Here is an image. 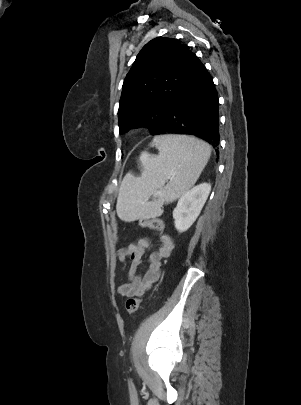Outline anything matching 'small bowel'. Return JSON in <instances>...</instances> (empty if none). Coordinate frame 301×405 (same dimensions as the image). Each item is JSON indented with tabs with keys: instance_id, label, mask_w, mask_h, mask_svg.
Masks as SVG:
<instances>
[{
	"instance_id": "c3829d8e",
	"label": "small bowel",
	"mask_w": 301,
	"mask_h": 405,
	"mask_svg": "<svg viewBox=\"0 0 301 405\" xmlns=\"http://www.w3.org/2000/svg\"><path fill=\"white\" fill-rule=\"evenodd\" d=\"M159 240V249L148 255L149 265L144 275H140L138 269L149 248V240L140 238L137 242L119 250V259L122 262L129 261L127 280L117 291L121 297L142 296L158 281L161 274L162 260L168 258L174 249L173 240L169 235L161 234Z\"/></svg>"
}]
</instances>
